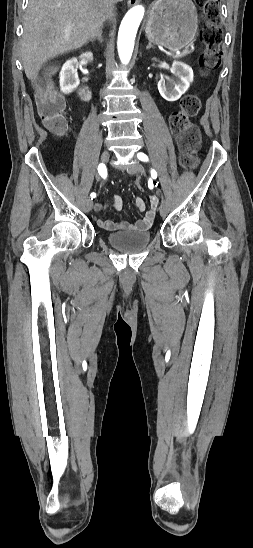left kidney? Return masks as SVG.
<instances>
[{"label": "left kidney", "instance_id": "left-kidney-1", "mask_svg": "<svg viewBox=\"0 0 253 548\" xmlns=\"http://www.w3.org/2000/svg\"><path fill=\"white\" fill-rule=\"evenodd\" d=\"M172 77H166L158 82L160 95L167 101H177L193 82V70L190 66L174 61L170 69Z\"/></svg>", "mask_w": 253, "mask_h": 548}]
</instances>
